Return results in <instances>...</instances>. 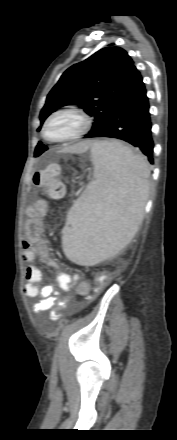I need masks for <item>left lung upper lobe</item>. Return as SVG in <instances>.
<instances>
[{"instance_id": "left-lung-upper-lobe-1", "label": "left lung upper lobe", "mask_w": 177, "mask_h": 440, "mask_svg": "<svg viewBox=\"0 0 177 440\" xmlns=\"http://www.w3.org/2000/svg\"><path fill=\"white\" fill-rule=\"evenodd\" d=\"M141 79L128 53L111 44L62 74L47 96L40 121L43 123L59 107L78 105L95 118L89 132L92 133L107 122ZM47 149L39 142L34 156Z\"/></svg>"}]
</instances>
